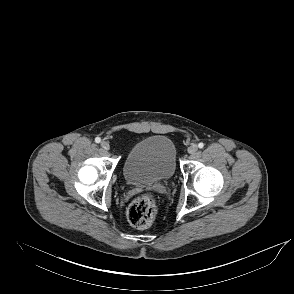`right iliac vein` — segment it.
I'll return each instance as SVG.
<instances>
[{
  "label": "right iliac vein",
  "mask_w": 294,
  "mask_h": 294,
  "mask_svg": "<svg viewBox=\"0 0 294 294\" xmlns=\"http://www.w3.org/2000/svg\"><path fill=\"white\" fill-rule=\"evenodd\" d=\"M101 147H102L104 150H106V151H109V149H110V145H109V143H108L107 141H102V142H101Z\"/></svg>",
  "instance_id": "obj_1"
}]
</instances>
